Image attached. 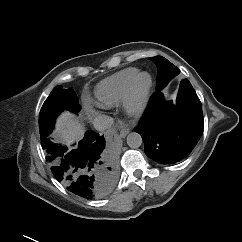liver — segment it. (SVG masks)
I'll use <instances>...</instances> for the list:
<instances>
[{"instance_id": "6515ba94", "label": "liver", "mask_w": 242, "mask_h": 242, "mask_svg": "<svg viewBox=\"0 0 242 242\" xmlns=\"http://www.w3.org/2000/svg\"><path fill=\"white\" fill-rule=\"evenodd\" d=\"M83 136V126L79 123L75 115L64 112L58 117L56 129L52 133L55 142L70 145L75 141L81 140Z\"/></svg>"}]
</instances>
